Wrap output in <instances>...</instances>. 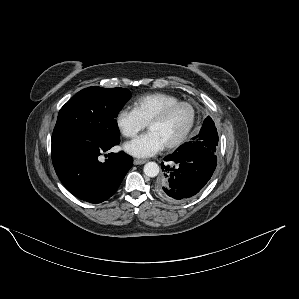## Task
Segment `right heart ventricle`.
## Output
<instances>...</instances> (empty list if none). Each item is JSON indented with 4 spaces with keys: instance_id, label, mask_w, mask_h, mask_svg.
Listing matches in <instances>:
<instances>
[{
    "instance_id": "1",
    "label": "right heart ventricle",
    "mask_w": 299,
    "mask_h": 299,
    "mask_svg": "<svg viewBox=\"0 0 299 299\" xmlns=\"http://www.w3.org/2000/svg\"><path fill=\"white\" fill-rule=\"evenodd\" d=\"M180 101L175 95L154 92L136 97L132 103V108L139 118L147 124L164 107Z\"/></svg>"
}]
</instances>
